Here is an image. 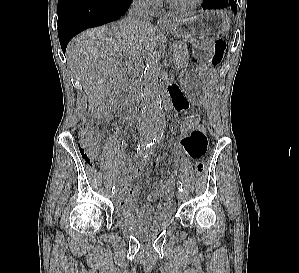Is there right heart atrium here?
<instances>
[{"label":"right heart atrium","mask_w":299,"mask_h":273,"mask_svg":"<svg viewBox=\"0 0 299 273\" xmlns=\"http://www.w3.org/2000/svg\"><path fill=\"white\" fill-rule=\"evenodd\" d=\"M140 6L148 8L155 4L156 0H135Z\"/></svg>","instance_id":"d8ad5b80"}]
</instances>
